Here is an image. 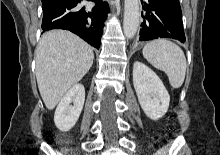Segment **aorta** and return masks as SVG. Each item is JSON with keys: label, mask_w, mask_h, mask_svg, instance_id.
I'll return each instance as SVG.
<instances>
[{"label": "aorta", "mask_w": 220, "mask_h": 155, "mask_svg": "<svg viewBox=\"0 0 220 155\" xmlns=\"http://www.w3.org/2000/svg\"><path fill=\"white\" fill-rule=\"evenodd\" d=\"M140 21L139 0H124L123 31L126 38H133Z\"/></svg>", "instance_id": "obj_1"}]
</instances>
